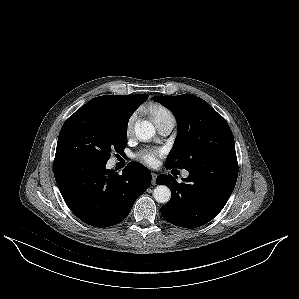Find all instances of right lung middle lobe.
I'll list each match as a JSON object with an SVG mask.
<instances>
[{"mask_svg": "<svg viewBox=\"0 0 299 299\" xmlns=\"http://www.w3.org/2000/svg\"><path fill=\"white\" fill-rule=\"evenodd\" d=\"M130 115L100 106H82L63 124L56 155L68 154L106 163L110 153H123Z\"/></svg>", "mask_w": 299, "mask_h": 299, "instance_id": "obj_1", "label": "right lung middle lobe"}]
</instances>
